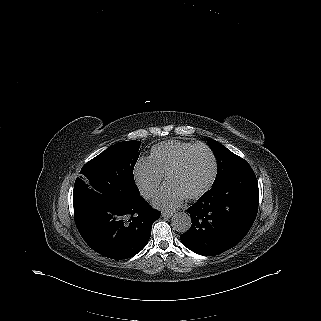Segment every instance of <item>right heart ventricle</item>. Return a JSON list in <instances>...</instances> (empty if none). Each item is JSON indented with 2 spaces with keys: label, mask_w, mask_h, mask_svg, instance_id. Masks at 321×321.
I'll return each instance as SVG.
<instances>
[{
  "label": "right heart ventricle",
  "mask_w": 321,
  "mask_h": 321,
  "mask_svg": "<svg viewBox=\"0 0 321 321\" xmlns=\"http://www.w3.org/2000/svg\"><path fill=\"white\" fill-rule=\"evenodd\" d=\"M196 146L181 140L164 141L153 146L149 161L161 177L166 176Z\"/></svg>",
  "instance_id": "obj_1"
}]
</instances>
